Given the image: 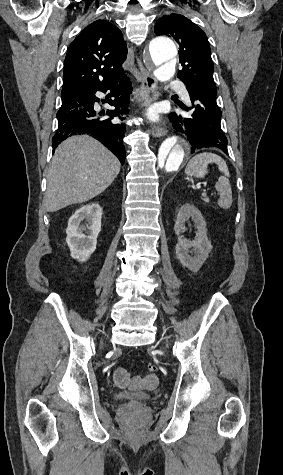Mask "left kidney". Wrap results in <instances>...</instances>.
I'll use <instances>...</instances> for the list:
<instances>
[{
  "mask_svg": "<svg viewBox=\"0 0 283 475\" xmlns=\"http://www.w3.org/2000/svg\"><path fill=\"white\" fill-rule=\"evenodd\" d=\"M192 218L194 224L197 226L195 239H190L181 236L182 230H186L185 222ZM174 232L177 234V241L175 245L176 257L181 261L184 267H188L191 271H198L202 267L205 259H207L210 251H212L211 241L207 238L206 222L198 208H194L191 204H184L181 206L177 220L174 226ZM189 247H195V255H189Z\"/></svg>",
  "mask_w": 283,
  "mask_h": 475,
  "instance_id": "obj_1",
  "label": "left kidney"
}]
</instances>
